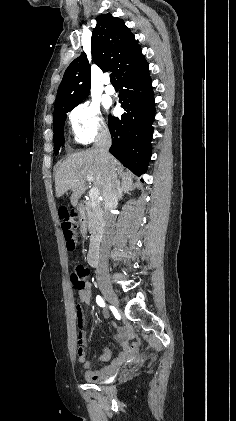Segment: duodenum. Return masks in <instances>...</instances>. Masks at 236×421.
Listing matches in <instances>:
<instances>
[{
	"instance_id": "duodenum-1",
	"label": "duodenum",
	"mask_w": 236,
	"mask_h": 421,
	"mask_svg": "<svg viewBox=\"0 0 236 421\" xmlns=\"http://www.w3.org/2000/svg\"><path fill=\"white\" fill-rule=\"evenodd\" d=\"M88 260L92 267H97L99 265V253L97 248L93 247L90 249L88 254ZM124 346V352L120 354L110 366L102 368L98 371H89V378L90 379H97L109 376L115 372V370L127 359V345L125 342L122 343ZM109 358L103 354L101 356V360H108Z\"/></svg>"
}]
</instances>
